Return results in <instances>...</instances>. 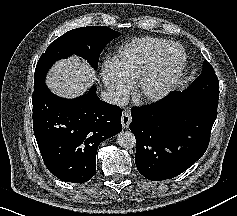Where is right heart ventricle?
<instances>
[{
  "label": "right heart ventricle",
  "instance_id": "e07e8e85",
  "mask_svg": "<svg viewBox=\"0 0 237 216\" xmlns=\"http://www.w3.org/2000/svg\"><path fill=\"white\" fill-rule=\"evenodd\" d=\"M165 42V39L157 37L130 38L127 44L108 56L109 67L114 73L124 76L123 81L130 73L139 75L153 60V49L160 48Z\"/></svg>",
  "mask_w": 237,
  "mask_h": 216
}]
</instances>
